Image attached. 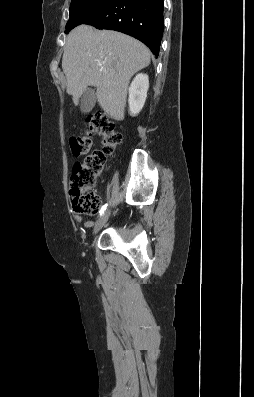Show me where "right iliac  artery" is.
Returning a JSON list of instances; mask_svg holds the SVG:
<instances>
[{
	"mask_svg": "<svg viewBox=\"0 0 254 397\" xmlns=\"http://www.w3.org/2000/svg\"><path fill=\"white\" fill-rule=\"evenodd\" d=\"M107 208V204L103 205L101 210H100V216L104 214L105 210Z\"/></svg>",
	"mask_w": 254,
	"mask_h": 397,
	"instance_id": "1",
	"label": "right iliac artery"
}]
</instances>
